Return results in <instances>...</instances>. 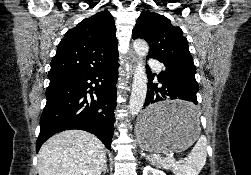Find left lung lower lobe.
<instances>
[{
  "instance_id": "left-lung-lower-lobe-1",
  "label": "left lung lower lobe",
  "mask_w": 251,
  "mask_h": 175,
  "mask_svg": "<svg viewBox=\"0 0 251 175\" xmlns=\"http://www.w3.org/2000/svg\"><path fill=\"white\" fill-rule=\"evenodd\" d=\"M148 58H155L161 61L165 65V70L158 75V81L162 84L158 88V84L152 83L154 76H150V70L147 67L148 85L150 88L147 91L141 123L145 126H153L196 119L199 115V110L195 106L198 104L196 93L199 89L195 80L196 71L178 65L167 64L156 56L148 55ZM167 99H181L191 103L172 107H152L154 103Z\"/></svg>"
}]
</instances>
